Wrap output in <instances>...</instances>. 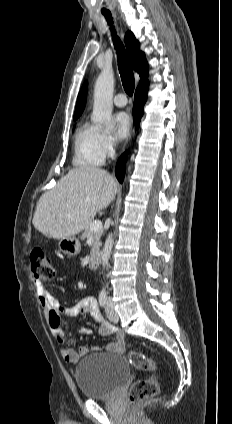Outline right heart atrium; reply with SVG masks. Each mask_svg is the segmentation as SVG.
Wrapping results in <instances>:
<instances>
[{
    "mask_svg": "<svg viewBox=\"0 0 232 424\" xmlns=\"http://www.w3.org/2000/svg\"><path fill=\"white\" fill-rule=\"evenodd\" d=\"M117 146L116 137L110 132H102L101 134V148L105 156L112 155Z\"/></svg>",
    "mask_w": 232,
    "mask_h": 424,
    "instance_id": "right-heart-atrium-1",
    "label": "right heart atrium"
}]
</instances>
